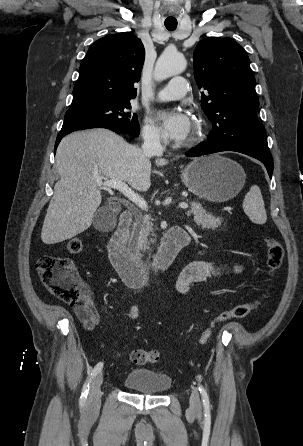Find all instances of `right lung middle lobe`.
Returning a JSON list of instances; mask_svg holds the SVG:
<instances>
[{
  "mask_svg": "<svg viewBox=\"0 0 303 446\" xmlns=\"http://www.w3.org/2000/svg\"><path fill=\"white\" fill-rule=\"evenodd\" d=\"M130 100L107 102L87 107L69 109L64 118L61 131L90 122H101L119 128L123 133L138 136L140 132L138 117L129 112Z\"/></svg>",
  "mask_w": 303,
  "mask_h": 446,
  "instance_id": "1",
  "label": "right lung middle lobe"
}]
</instances>
